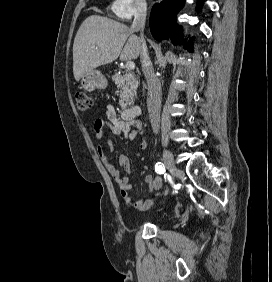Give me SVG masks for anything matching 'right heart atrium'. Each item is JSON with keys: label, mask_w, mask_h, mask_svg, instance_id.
<instances>
[{"label": "right heart atrium", "mask_w": 272, "mask_h": 282, "mask_svg": "<svg viewBox=\"0 0 272 282\" xmlns=\"http://www.w3.org/2000/svg\"><path fill=\"white\" fill-rule=\"evenodd\" d=\"M111 13L121 21H130L147 10L146 0H113L110 6Z\"/></svg>", "instance_id": "right-heart-atrium-1"}]
</instances>
